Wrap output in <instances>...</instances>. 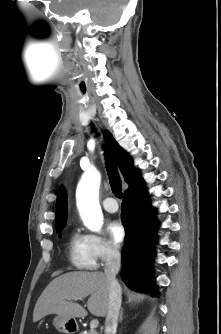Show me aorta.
Masks as SVG:
<instances>
[{
    "mask_svg": "<svg viewBox=\"0 0 221 334\" xmlns=\"http://www.w3.org/2000/svg\"><path fill=\"white\" fill-rule=\"evenodd\" d=\"M100 173L97 170L86 171L76 189V202L84 225L92 232L100 233L103 225V213L99 204Z\"/></svg>",
    "mask_w": 221,
    "mask_h": 334,
    "instance_id": "obj_1",
    "label": "aorta"
}]
</instances>
